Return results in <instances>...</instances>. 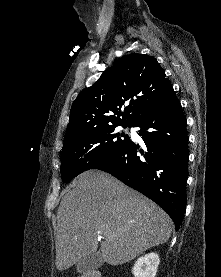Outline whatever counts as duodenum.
<instances>
[{
  "label": "duodenum",
  "instance_id": "410a0bca",
  "mask_svg": "<svg viewBox=\"0 0 221 277\" xmlns=\"http://www.w3.org/2000/svg\"><path fill=\"white\" fill-rule=\"evenodd\" d=\"M88 277H99V275L95 272L88 275Z\"/></svg>",
  "mask_w": 221,
  "mask_h": 277
}]
</instances>
